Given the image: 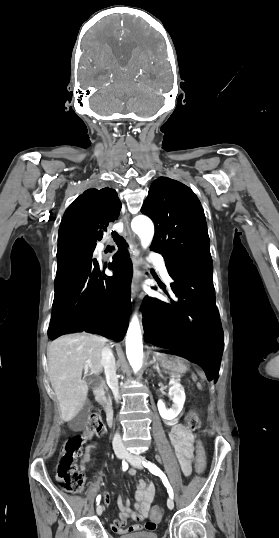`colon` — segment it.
<instances>
[{
	"instance_id": "colon-1",
	"label": "colon",
	"mask_w": 279,
	"mask_h": 538,
	"mask_svg": "<svg viewBox=\"0 0 279 538\" xmlns=\"http://www.w3.org/2000/svg\"><path fill=\"white\" fill-rule=\"evenodd\" d=\"M186 426L191 431H196L201 426V421L195 411H190L185 417ZM105 431V425L100 415L92 414L84 431L66 441L61 449L56 475L64 489L69 492H78L83 489L85 475L81 467L77 465V459L81 455L83 445L94 436H99ZM195 465L198 473H203L206 468V453L203 443L196 441ZM164 514L162 506H155L151 512V519L159 521Z\"/></svg>"
}]
</instances>
